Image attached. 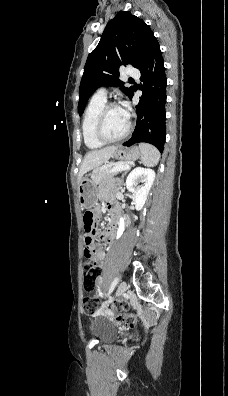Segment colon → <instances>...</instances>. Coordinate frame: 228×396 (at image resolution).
<instances>
[{
  "label": "colon",
  "mask_w": 228,
  "mask_h": 396,
  "mask_svg": "<svg viewBox=\"0 0 228 396\" xmlns=\"http://www.w3.org/2000/svg\"><path fill=\"white\" fill-rule=\"evenodd\" d=\"M84 228L86 231L85 237V262L83 264V286L87 291H92L95 289L97 284V279L100 276V268L93 257V250L96 244L97 237V227L96 218L93 212L87 211L83 216ZM99 301L94 297H85L82 302L83 312L92 316L99 310ZM121 314L118 316V320L126 323L127 325L133 327L135 325V317L128 313L130 304L126 301H121L117 305Z\"/></svg>",
  "instance_id": "1"
}]
</instances>
